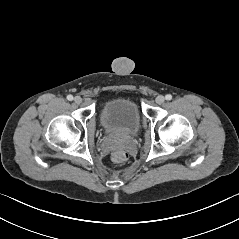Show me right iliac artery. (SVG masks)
Returning a JSON list of instances; mask_svg holds the SVG:
<instances>
[{"mask_svg":"<svg viewBox=\"0 0 239 239\" xmlns=\"http://www.w3.org/2000/svg\"><path fill=\"white\" fill-rule=\"evenodd\" d=\"M67 99H68L69 101H72V100H73V96H72V95H68V96H67Z\"/></svg>","mask_w":239,"mask_h":239,"instance_id":"right-iliac-artery-1","label":"right iliac artery"}]
</instances>
